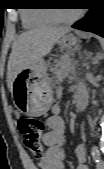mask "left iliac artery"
Instances as JSON below:
<instances>
[{"label": "left iliac artery", "instance_id": "left-iliac-artery-1", "mask_svg": "<svg viewBox=\"0 0 104 169\" xmlns=\"http://www.w3.org/2000/svg\"><path fill=\"white\" fill-rule=\"evenodd\" d=\"M91 155L94 159L95 162H99L100 161V152L98 150V148L96 146H93L91 149Z\"/></svg>", "mask_w": 104, "mask_h": 169}]
</instances>
